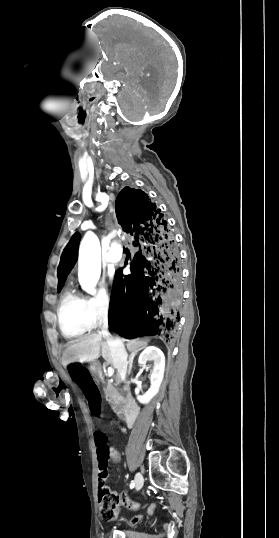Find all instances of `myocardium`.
<instances>
[{
  "mask_svg": "<svg viewBox=\"0 0 279 538\" xmlns=\"http://www.w3.org/2000/svg\"><path fill=\"white\" fill-rule=\"evenodd\" d=\"M87 225H88V223H84V225H83V226H84V227H86ZM129 234H130V235H132V232H131V231H129Z\"/></svg>",
  "mask_w": 279,
  "mask_h": 538,
  "instance_id": "myocardium-1",
  "label": "myocardium"
}]
</instances>
